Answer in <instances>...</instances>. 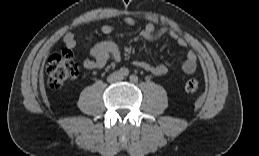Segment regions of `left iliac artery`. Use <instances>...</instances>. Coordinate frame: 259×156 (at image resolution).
I'll return each instance as SVG.
<instances>
[{
	"label": "left iliac artery",
	"instance_id": "44dca946",
	"mask_svg": "<svg viewBox=\"0 0 259 156\" xmlns=\"http://www.w3.org/2000/svg\"><path fill=\"white\" fill-rule=\"evenodd\" d=\"M130 80L132 81V82H137L138 81V77L136 76V75H134V74H132L131 76H130Z\"/></svg>",
	"mask_w": 259,
	"mask_h": 156
}]
</instances>
